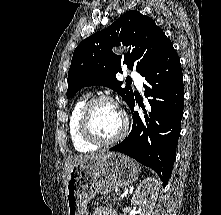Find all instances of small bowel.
<instances>
[{
	"instance_id": "1",
	"label": "small bowel",
	"mask_w": 221,
	"mask_h": 215,
	"mask_svg": "<svg viewBox=\"0 0 221 215\" xmlns=\"http://www.w3.org/2000/svg\"><path fill=\"white\" fill-rule=\"evenodd\" d=\"M93 215H116V212L109 207H99L95 209Z\"/></svg>"
}]
</instances>
